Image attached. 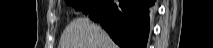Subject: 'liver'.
Wrapping results in <instances>:
<instances>
[{"mask_svg": "<svg viewBox=\"0 0 213 48\" xmlns=\"http://www.w3.org/2000/svg\"><path fill=\"white\" fill-rule=\"evenodd\" d=\"M58 48H118L108 34L87 18H76L67 25Z\"/></svg>", "mask_w": 213, "mask_h": 48, "instance_id": "1", "label": "liver"}]
</instances>
